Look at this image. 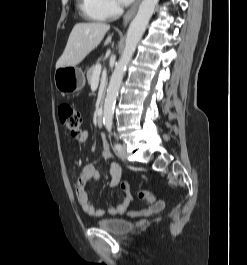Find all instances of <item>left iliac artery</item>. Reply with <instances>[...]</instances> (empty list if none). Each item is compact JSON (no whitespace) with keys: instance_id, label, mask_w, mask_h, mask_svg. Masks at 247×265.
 Instances as JSON below:
<instances>
[{"instance_id":"obj_1","label":"left iliac artery","mask_w":247,"mask_h":265,"mask_svg":"<svg viewBox=\"0 0 247 265\" xmlns=\"http://www.w3.org/2000/svg\"><path fill=\"white\" fill-rule=\"evenodd\" d=\"M107 130H108L109 132H111V130H112V125H111V124H108V125H107ZM114 148H115L116 150H119V149L121 148V145L118 144V143H116V144H114Z\"/></svg>"}]
</instances>
